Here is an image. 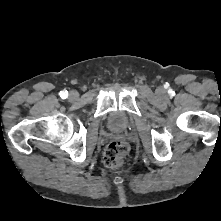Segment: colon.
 I'll return each instance as SVG.
<instances>
[{"instance_id": "1", "label": "colon", "mask_w": 221, "mask_h": 221, "mask_svg": "<svg viewBox=\"0 0 221 221\" xmlns=\"http://www.w3.org/2000/svg\"><path fill=\"white\" fill-rule=\"evenodd\" d=\"M128 145L121 140L110 142L104 151V163L109 168H120L125 162Z\"/></svg>"}]
</instances>
